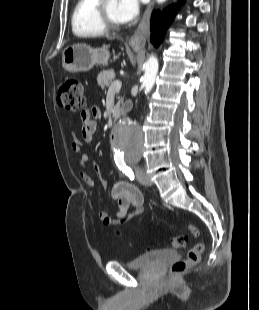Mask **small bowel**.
<instances>
[{
    "mask_svg": "<svg viewBox=\"0 0 259 310\" xmlns=\"http://www.w3.org/2000/svg\"><path fill=\"white\" fill-rule=\"evenodd\" d=\"M101 117V111L97 106L84 110L81 114V135L84 141L91 142L96 131V120ZM71 148L74 152L80 153L82 142L76 134L72 135ZM90 156L82 153L79 156V176L89 187L95 185V181L89 174L88 163ZM111 198L118 203V211L115 218L107 212L99 213V220L104 225H111L115 222H127L143 212L144 198L141 191L132 183L117 181L111 189Z\"/></svg>",
    "mask_w": 259,
    "mask_h": 310,
    "instance_id": "1",
    "label": "small bowel"
}]
</instances>
